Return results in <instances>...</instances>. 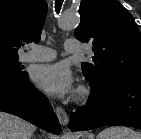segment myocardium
<instances>
[{"label": "myocardium", "instance_id": "f54148a6", "mask_svg": "<svg viewBox=\"0 0 141 139\" xmlns=\"http://www.w3.org/2000/svg\"><path fill=\"white\" fill-rule=\"evenodd\" d=\"M89 92L87 89L85 88H82L79 90V93H78V100L82 101V100H85L88 96Z\"/></svg>", "mask_w": 141, "mask_h": 139}]
</instances>
